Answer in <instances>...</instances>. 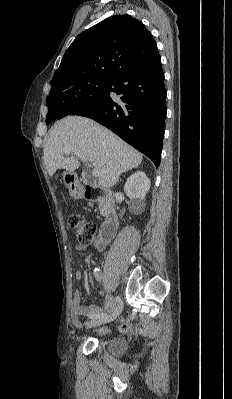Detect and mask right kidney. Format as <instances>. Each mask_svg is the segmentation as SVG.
Returning a JSON list of instances; mask_svg holds the SVG:
<instances>
[{"mask_svg": "<svg viewBox=\"0 0 232 399\" xmlns=\"http://www.w3.org/2000/svg\"><path fill=\"white\" fill-rule=\"evenodd\" d=\"M150 180L147 178L145 172H135L130 178H128L124 190L132 200V203L136 205L137 209H145V196L150 188Z\"/></svg>", "mask_w": 232, "mask_h": 399, "instance_id": "obj_1", "label": "right kidney"}]
</instances>
